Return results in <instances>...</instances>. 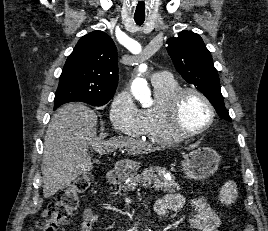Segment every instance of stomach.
Wrapping results in <instances>:
<instances>
[{
    "instance_id": "obj_1",
    "label": "stomach",
    "mask_w": 268,
    "mask_h": 231,
    "mask_svg": "<svg viewBox=\"0 0 268 231\" xmlns=\"http://www.w3.org/2000/svg\"><path fill=\"white\" fill-rule=\"evenodd\" d=\"M220 156L208 147L198 148L184 156L182 161L183 173L191 179L203 180L212 176L218 169ZM140 163L124 160L119 163L121 172L126 177H132L139 169Z\"/></svg>"
}]
</instances>
